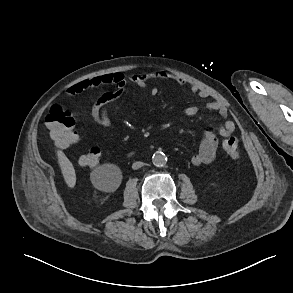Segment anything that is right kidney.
Returning <instances> with one entry per match:
<instances>
[{
	"label": "right kidney",
	"instance_id": "1",
	"mask_svg": "<svg viewBox=\"0 0 293 293\" xmlns=\"http://www.w3.org/2000/svg\"><path fill=\"white\" fill-rule=\"evenodd\" d=\"M101 172L108 182H111L115 187H118L121 183L122 174L118 166L114 164H105L101 167Z\"/></svg>",
	"mask_w": 293,
	"mask_h": 293
}]
</instances>
